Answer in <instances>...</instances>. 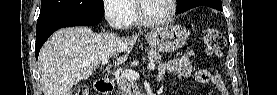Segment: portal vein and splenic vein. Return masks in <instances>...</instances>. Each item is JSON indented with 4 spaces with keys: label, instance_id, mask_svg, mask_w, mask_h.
I'll use <instances>...</instances> for the list:
<instances>
[{
    "label": "portal vein and splenic vein",
    "instance_id": "portal-vein-and-splenic-vein-1",
    "mask_svg": "<svg viewBox=\"0 0 277 95\" xmlns=\"http://www.w3.org/2000/svg\"><path fill=\"white\" fill-rule=\"evenodd\" d=\"M107 63H108V58L102 60V65H105ZM147 68L150 69V70H153L155 68V64L153 62H150L147 65ZM121 76L124 77V78H127L129 80H136V79L139 78V73L134 71V70H124L121 73Z\"/></svg>",
    "mask_w": 277,
    "mask_h": 95
}]
</instances>
